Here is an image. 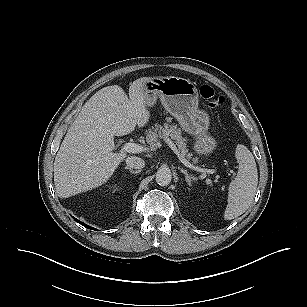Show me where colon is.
<instances>
[{"mask_svg": "<svg viewBox=\"0 0 307 307\" xmlns=\"http://www.w3.org/2000/svg\"><path fill=\"white\" fill-rule=\"evenodd\" d=\"M202 98L208 101V105L212 109H217L225 102V98L209 85H202L200 88Z\"/></svg>", "mask_w": 307, "mask_h": 307, "instance_id": "1", "label": "colon"}]
</instances>
